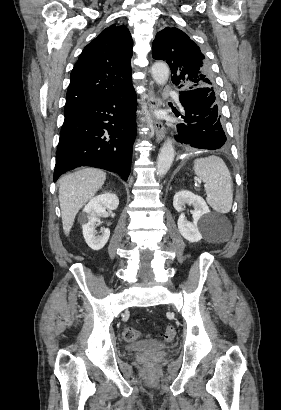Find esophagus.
Segmentation results:
<instances>
[{
    "mask_svg": "<svg viewBox=\"0 0 281 410\" xmlns=\"http://www.w3.org/2000/svg\"><path fill=\"white\" fill-rule=\"evenodd\" d=\"M147 105L149 112L153 114L155 111L160 109V102L155 95V92L152 88L148 89L147 92ZM154 129H155V136L156 141L160 142L165 137V126L161 120L155 119L154 120Z\"/></svg>",
    "mask_w": 281,
    "mask_h": 410,
    "instance_id": "34e87169",
    "label": "esophagus"
}]
</instances>
